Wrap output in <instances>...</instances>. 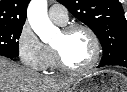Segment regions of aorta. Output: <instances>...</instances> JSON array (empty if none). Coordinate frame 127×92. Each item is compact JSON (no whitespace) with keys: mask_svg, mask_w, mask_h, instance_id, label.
<instances>
[{"mask_svg":"<svg viewBox=\"0 0 127 92\" xmlns=\"http://www.w3.org/2000/svg\"><path fill=\"white\" fill-rule=\"evenodd\" d=\"M27 18L33 31L43 42H49L57 31L47 13V0H32L27 9Z\"/></svg>","mask_w":127,"mask_h":92,"instance_id":"762f6f07","label":"aorta"}]
</instances>
